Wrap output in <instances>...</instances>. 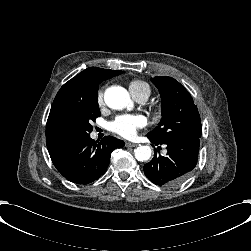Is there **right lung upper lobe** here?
I'll list each match as a JSON object with an SVG mask.
<instances>
[{"label":"right lung upper lobe","instance_id":"1","mask_svg":"<svg viewBox=\"0 0 251 251\" xmlns=\"http://www.w3.org/2000/svg\"><path fill=\"white\" fill-rule=\"evenodd\" d=\"M121 73V70L91 67L80 72L61 87L53 101L46 124V144L49 154L77 140L61 122L62 108L70 103L98 96L99 83Z\"/></svg>","mask_w":251,"mask_h":251}]
</instances>
